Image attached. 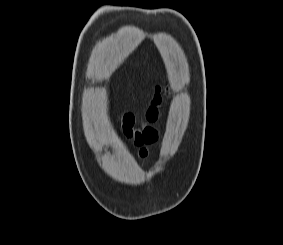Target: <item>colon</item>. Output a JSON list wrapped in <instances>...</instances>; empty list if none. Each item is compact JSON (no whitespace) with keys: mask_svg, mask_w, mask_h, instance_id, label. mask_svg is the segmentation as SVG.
<instances>
[{"mask_svg":"<svg viewBox=\"0 0 283 245\" xmlns=\"http://www.w3.org/2000/svg\"><path fill=\"white\" fill-rule=\"evenodd\" d=\"M158 89L148 107L144 117L142 126H137L136 117L127 113L122 116V130L126 137L133 139L137 144L152 143L157 139V131L152 124L158 118V105L160 103V95Z\"/></svg>","mask_w":283,"mask_h":245,"instance_id":"1","label":"colon"}]
</instances>
